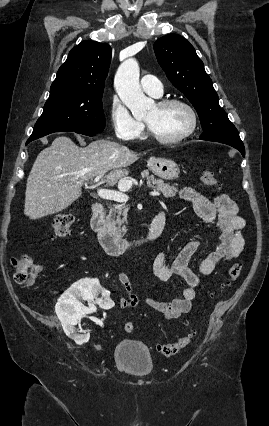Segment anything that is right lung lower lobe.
Here are the masks:
<instances>
[{"instance_id":"98d812e1","label":"right lung lower lobe","mask_w":269,"mask_h":426,"mask_svg":"<svg viewBox=\"0 0 269 426\" xmlns=\"http://www.w3.org/2000/svg\"><path fill=\"white\" fill-rule=\"evenodd\" d=\"M75 132L80 133V134H84V135H88V136H93V135H95V133H94V132L87 131V130H80V131H75ZM29 142H31V141H30V140H28V141H27V143H29Z\"/></svg>"}]
</instances>
